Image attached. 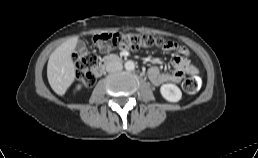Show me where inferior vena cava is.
I'll use <instances>...</instances> for the list:
<instances>
[{
	"label": "inferior vena cava",
	"instance_id": "602c4592",
	"mask_svg": "<svg viewBox=\"0 0 258 158\" xmlns=\"http://www.w3.org/2000/svg\"><path fill=\"white\" fill-rule=\"evenodd\" d=\"M122 69V63L120 61L109 62L106 66L107 72H116Z\"/></svg>",
	"mask_w": 258,
	"mask_h": 158
}]
</instances>
